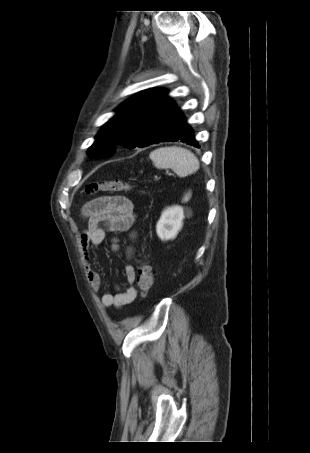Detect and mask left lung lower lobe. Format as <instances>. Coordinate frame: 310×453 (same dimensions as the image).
Masks as SVG:
<instances>
[{
	"instance_id": "left-lung-lower-lobe-1",
	"label": "left lung lower lobe",
	"mask_w": 310,
	"mask_h": 453,
	"mask_svg": "<svg viewBox=\"0 0 310 453\" xmlns=\"http://www.w3.org/2000/svg\"><path fill=\"white\" fill-rule=\"evenodd\" d=\"M169 141H180L199 148V144L195 140L194 132L187 124L186 118L180 109H177L169 129L163 138L157 143Z\"/></svg>"
}]
</instances>
